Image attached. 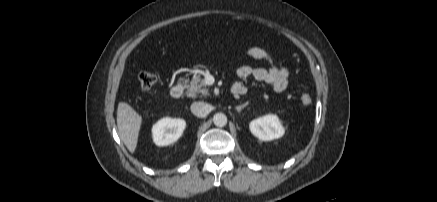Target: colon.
<instances>
[{
	"label": "colon",
	"instance_id": "1",
	"mask_svg": "<svg viewBox=\"0 0 437 202\" xmlns=\"http://www.w3.org/2000/svg\"><path fill=\"white\" fill-rule=\"evenodd\" d=\"M138 80L143 90H150L156 84L157 76L153 72L142 71L139 73ZM311 102L312 98L308 93L304 92L300 95V103L302 106L307 107Z\"/></svg>",
	"mask_w": 437,
	"mask_h": 202
}]
</instances>
